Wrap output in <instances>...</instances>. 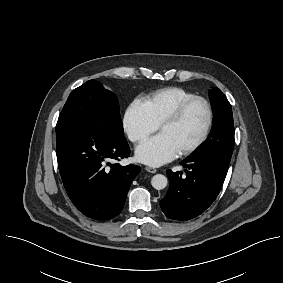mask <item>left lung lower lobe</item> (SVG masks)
<instances>
[{
	"mask_svg": "<svg viewBox=\"0 0 283 283\" xmlns=\"http://www.w3.org/2000/svg\"><path fill=\"white\" fill-rule=\"evenodd\" d=\"M181 164L186 176L167 171L170 186L160 206L168 218L186 221L200 215L216 199L230 162L213 155H191Z\"/></svg>",
	"mask_w": 283,
	"mask_h": 283,
	"instance_id": "1",
	"label": "left lung lower lobe"
}]
</instances>
